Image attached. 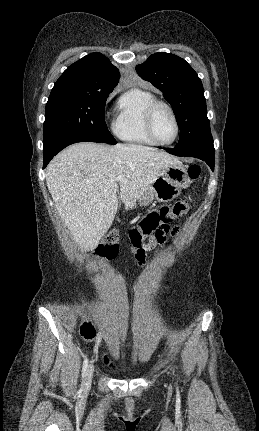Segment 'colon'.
Returning <instances> with one entry per match:
<instances>
[{
  "mask_svg": "<svg viewBox=\"0 0 259 431\" xmlns=\"http://www.w3.org/2000/svg\"><path fill=\"white\" fill-rule=\"evenodd\" d=\"M200 173L201 168L197 164H192L187 168L188 178L192 181L198 179ZM189 209L190 204L186 200L177 201L172 206H160L149 211L135 227L128 231L131 251L138 265L145 264L146 253L149 250L156 245H165L169 238L178 234L179 227L173 226L172 220L174 217L181 220ZM118 250L119 232L111 229L106 233L93 256L110 260L116 257ZM80 334L86 340H92L96 336L95 327L90 321H83L80 325Z\"/></svg>",
  "mask_w": 259,
  "mask_h": 431,
  "instance_id": "colon-1",
  "label": "colon"
}]
</instances>
